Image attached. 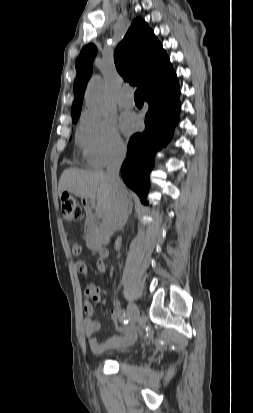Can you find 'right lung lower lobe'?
Segmentation results:
<instances>
[{
    "label": "right lung lower lobe",
    "instance_id": "1",
    "mask_svg": "<svg viewBox=\"0 0 253 413\" xmlns=\"http://www.w3.org/2000/svg\"><path fill=\"white\" fill-rule=\"evenodd\" d=\"M144 95L149 104L145 116V131L130 138L127 159L122 164L121 174L124 182L146 203L154 153L168 143L179 120L178 81L169 85L156 84Z\"/></svg>",
    "mask_w": 253,
    "mask_h": 413
}]
</instances>
